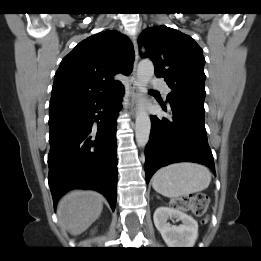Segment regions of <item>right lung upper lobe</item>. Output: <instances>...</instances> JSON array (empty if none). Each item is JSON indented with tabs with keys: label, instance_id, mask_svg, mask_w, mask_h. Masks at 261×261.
<instances>
[{
	"label": "right lung upper lobe",
	"instance_id": "1",
	"mask_svg": "<svg viewBox=\"0 0 261 261\" xmlns=\"http://www.w3.org/2000/svg\"><path fill=\"white\" fill-rule=\"evenodd\" d=\"M134 56L131 41L114 30L83 40L55 74L50 107L119 89L123 85L113 76L130 74Z\"/></svg>",
	"mask_w": 261,
	"mask_h": 261
}]
</instances>
